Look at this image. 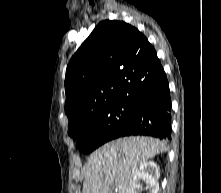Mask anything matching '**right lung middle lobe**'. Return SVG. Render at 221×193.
I'll use <instances>...</instances> for the list:
<instances>
[{"instance_id":"obj_1","label":"right lung middle lobe","mask_w":221,"mask_h":193,"mask_svg":"<svg viewBox=\"0 0 221 193\" xmlns=\"http://www.w3.org/2000/svg\"><path fill=\"white\" fill-rule=\"evenodd\" d=\"M137 99L115 101L97 112L80 119L68 132L78 138L77 145L81 152L90 153L100 145L114 138L137 111Z\"/></svg>"}]
</instances>
